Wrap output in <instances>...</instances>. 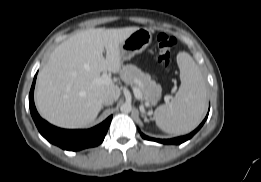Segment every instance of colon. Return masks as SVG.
<instances>
[{"mask_svg": "<svg viewBox=\"0 0 261 182\" xmlns=\"http://www.w3.org/2000/svg\"><path fill=\"white\" fill-rule=\"evenodd\" d=\"M175 44V39L169 34L160 33L157 36L158 62L162 67L167 68L170 65L171 50Z\"/></svg>", "mask_w": 261, "mask_h": 182, "instance_id": "obj_1", "label": "colon"}]
</instances>
